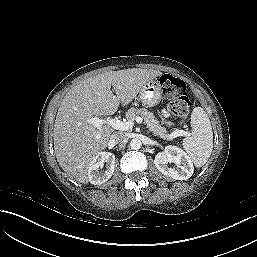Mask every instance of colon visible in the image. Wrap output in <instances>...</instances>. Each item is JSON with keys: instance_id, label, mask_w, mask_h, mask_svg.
Wrapping results in <instances>:
<instances>
[{"instance_id": "obj_1", "label": "colon", "mask_w": 257, "mask_h": 257, "mask_svg": "<svg viewBox=\"0 0 257 257\" xmlns=\"http://www.w3.org/2000/svg\"><path fill=\"white\" fill-rule=\"evenodd\" d=\"M159 84L170 111L181 122H184L188 117L190 109V100L185 82L171 74H163L160 77Z\"/></svg>"}]
</instances>
